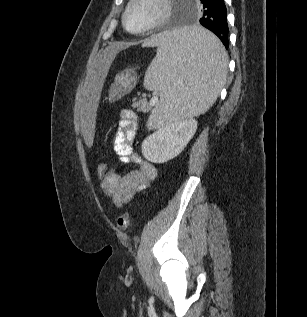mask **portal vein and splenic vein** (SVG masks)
Here are the masks:
<instances>
[{
    "label": "portal vein and splenic vein",
    "mask_w": 307,
    "mask_h": 317,
    "mask_svg": "<svg viewBox=\"0 0 307 317\" xmlns=\"http://www.w3.org/2000/svg\"><path fill=\"white\" fill-rule=\"evenodd\" d=\"M157 102H158V97H157V96H154V97L151 99V101H150L151 104H156Z\"/></svg>",
    "instance_id": "obj_1"
}]
</instances>
